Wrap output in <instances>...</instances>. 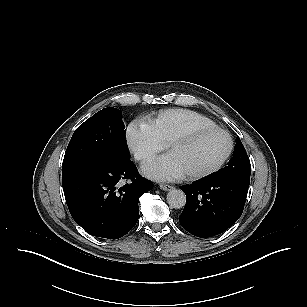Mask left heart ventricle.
Instances as JSON below:
<instances>
[{"mask_svg":"<svg viewBox=\"0 0 307 307\" xmlns=\"http://www.w3.org/2000/svg\"><path fill=\"white\" fill-rule=\"evenodd\" d=\"M229 138L221 132H209L190 144L170 150L167 154L184 174L207 170L219 163L229 149Z\"/></svg>","mask_w":307,"mask_h":307,"instance_id":"left-heart-ventricle-1","label":"left heart ventricle"}]
</instances>
